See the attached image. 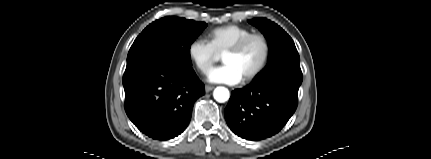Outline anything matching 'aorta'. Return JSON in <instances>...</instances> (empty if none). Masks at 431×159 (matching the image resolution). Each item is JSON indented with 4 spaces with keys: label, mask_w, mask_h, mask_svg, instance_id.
<instances>
[{
    "label": "aorta",
    "mask_w": 431,
    "mask_h": 159,
    "mask_svg": "<svg viewBox=\"0 0 431 159\" xmlns=\"http://www.w3.org/2000/svg\"><path fill=\"white\" fill-rule=\"evenodd\" d=\"M213 96L216 101L223 103L229 99L230 93L225 87H217L213 92Z\"/></svg>",
    "instance_id": "obj_1"
}]
</instances>
